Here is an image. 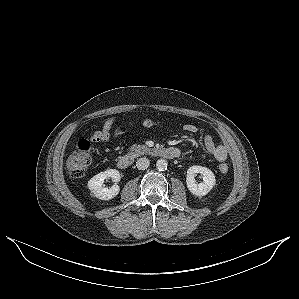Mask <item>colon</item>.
<instances>
[{"mask_svg": "<svg viewBox=\"0 0 299 299\" xmlns=\"http://www.w3.org/2000/svg\"><path fill=\"white\" fill-rule=\"evenodd\" d=\"M143 125L151 127L155 122L150 119H145ZM92 161L91 144L88 140H81L75 151H73L66 160V169L70 176L78 178L85 174ZM222 173L228 172V165L223 163L219 166Z\"/></svg>", "mask_w": 299, "mask_h": 299, "instance_id": "1", "label": "colon"}]
</instances>
